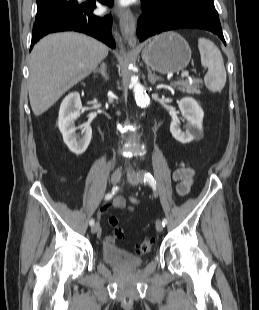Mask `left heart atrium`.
<instances>
[{"label": "left heart atrium", "instance_id": "39dd6f15", "mask_svg": "<svg viewBox=\"0 0 259 310\" xmlns=\"http://www.w3.org/2000/svg\"><path fill=\"white\" fill-rule=\"evenodd\" d=\"M129 2V0H119V3L120 4H126V3H128Z\"/></svg>", "mask_w": 259, "mask_h": 310}]
</instances>
